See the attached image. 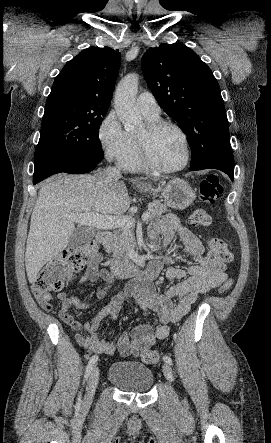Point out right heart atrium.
I'll list each match as a JSON object with an SVG mask.
<instances>
[{
    "mask_svg": "<svg viewBox=\"0 0 271 443\" xmlns=\"http://www.w3.org/2000/svg\"><path fill=\"white\" fill-rule=\"evenodd\" d=\"M97 138L105 156L123 165L130 155L131 143L115 111H109L102 118L97 128Z\"/></svg>",
    "mask_w": 271,
    "mask_h": 443,
    "instance_id": "1",
    "label": "right heart atrium"
}]
</instances>
